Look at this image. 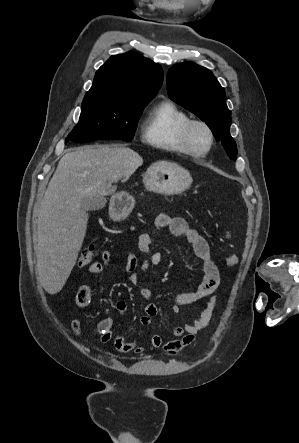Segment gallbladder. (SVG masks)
Returning a JSON list of instances; mask_svg holds the SVG:
<instances>
[{
  "label": "gallbladder",
  "instance_id": "1",
  "mask_svg": "<svg viewBox=\"0 0 299 443\" xmlns=\"http://www.w3.org/2000/svg\"><path fill=\"white\" fill-rule=\"evenodd\" d=\"M106 204V199L101 196H84L81 200V208L88 211H98Z\"/></svg>",
  "mask_w": 299,
  "mask_h": 443
}]
</instances>
